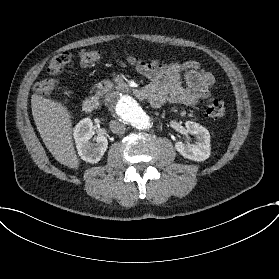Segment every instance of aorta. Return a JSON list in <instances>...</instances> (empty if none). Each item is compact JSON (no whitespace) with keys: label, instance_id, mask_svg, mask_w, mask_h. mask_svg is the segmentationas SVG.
<instances>
[{"label":"aorta","instance_id":"1","mask_svg":"<svg viewBox=\"0 0 279 279\" xmlns=\"http://www.w3.org/2000/svg\"><path fill=\"white\" fill-rule=\"evenodd\" d=\"M114 114L137 129H148L150 117L144 112L139 103L127 94H120L112 102Z\"/></svg>","mask_w":279,"mask_h":279}]
</instances>
